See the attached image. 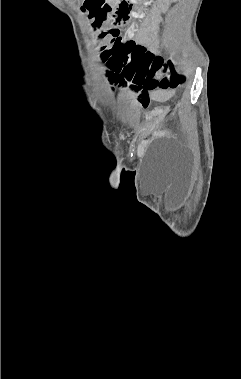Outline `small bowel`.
I'll return each instance as SVG.
<instances>
[{
    "label": "small bowel",
    "instance_id": "1",
    "mask_svg": "<svg viewBox=\"0 0 241 379\" xmlns=\"http://www.w3.org/2000/svg\"><path fill=\"white\" fill-rule=\"evenodd\" d=\"M116 30V28H114ZM117 37L119 38L118 41L126 42L129 41L128 39H122L119 37V32L116 30ZM121 85H124V82H114ZM138 85V84H137ZM136 98H137V106H139V113H142V110H149L151 105L150 100V93L151 97L158 101H166L169 98H171L175 90L174 89H163L157 91V86H149L148 83H141L140 86L138 85L136 89Z\"/></svg>",
    "mask_w": 241,
    "mask_h": 379
}]
</instances>
